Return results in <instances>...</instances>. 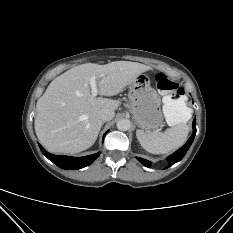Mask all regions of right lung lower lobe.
<instances>
[{
  "mask_svg": "<svg viewBox=\"0 0 233 233\" xmlns=\"http://www.w3.org/2000/svg\"><path fill=\"white\" fill-rule=\"evenodd\" d=\"M106 134H104L105 137ZM39 147L42 151V153L47 157L50 161L55 163L57 166L63 168V169H81L83 167H86L90 165L94 160L97 159V157L100 155V153H96L93 155L85 156V157H69V156H59V155H53L48 153L40 144Z\"/></svg>",
  "mask_w": 233,
  "mask_h": 233,
  "instance_id": "obj_1",
  "label": "right lung lower lobe"
}]
</instances>
